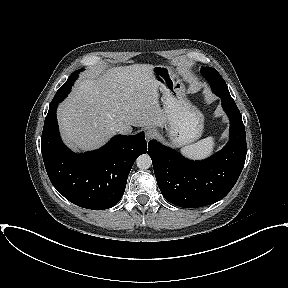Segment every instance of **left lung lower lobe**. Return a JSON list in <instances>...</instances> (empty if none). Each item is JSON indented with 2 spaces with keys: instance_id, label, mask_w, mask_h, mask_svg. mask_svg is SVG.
I'll list each match as a JSON object with an SVG mask.
<instances>
[{
  "instance_id": "1",
  "label": "left lung lower lobe",
  "mask_w": 288,
  "mask_h": 288,
  "mask_svg": "<svg viewBox=\"0 0 288 288\" xmlns=\"http://www.w3.org/2000/svg\"><path fill=\"white\" fill-rule=\"evenodd\" d=\"M230 119L225 147L202 161H191L151 140L148 155L162 195L172 204L198 208L224 198L235 185L245 163L247 145L241 114L231 98L220 97Z\"/></svg>"
}]
</instances>
